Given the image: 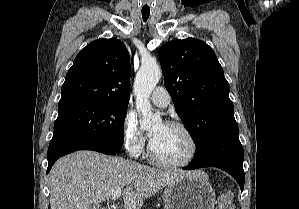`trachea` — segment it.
Instances as JSON below:
<instances>
[{
	"instance_id": "obj_1",
	"label": "trachea",
	"mask_w": 299,
	"mask_h": 209,
	"mask_svg": "<svg viewBox=\"0 0 299 209\" xmlns=\"http://www.w3.org/2000/svg\"><path fill=\"white\" fill-rule=\"evenodd\" d=\"M147 19H148V16H143L144 21H147Z\"/></svg>"
}]
</instances>
